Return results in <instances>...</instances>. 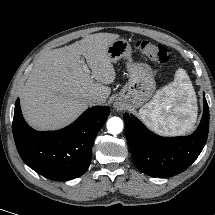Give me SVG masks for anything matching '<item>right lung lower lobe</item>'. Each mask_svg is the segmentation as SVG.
<instances>
[{"label":"right lung lower lobe","mask_w":215,"mask_h":215,"mask_svg":"<svg viewBox=\"0 0 215 215\" xmlns=\"http://www.w3.org/2000/svg\"><path fill=\"white\" fill-rule=\"evenodd\" d=\"M109 113V107L94 106L61 130L36 131L25 122L17 99L12 126L17 150L30 168L48 179L77 178L90 165L94 139Z\"/></svg>","instance_id":"right-lung-lower-lobe-1"}]
</instances>
